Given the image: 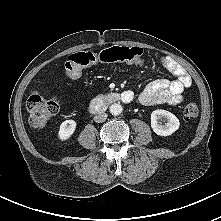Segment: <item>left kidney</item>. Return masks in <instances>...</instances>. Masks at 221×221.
Listing matches in <instances>:
<instances>
[{"label": "left kidney", "mask_w": 221, "mask_h": 221, "mask_svg": "<svg viewBox=\"0 0 221 221\" xmlns=\"http://www.w3.org/2000/svg\"><path fill=\"white\" fill-rule=\"evenodd\" d=\"M166 118L167 123L160 124L158 120ZM180 125L179 119L169 111L155 110L151 113V128L159 136H169L178 130Z\"/></svg>", "instance_id": "obj_1"}]
</instances>
